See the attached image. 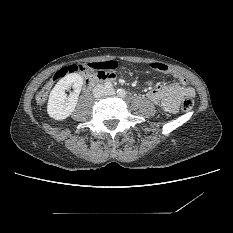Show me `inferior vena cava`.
<instances>
[{"label": "inferior vena cava", "instance_id": "inferior-vena-cava-1", "mask_svg": "<svg viewBox=\"0 0 233 233\" xmlns=\"http://www.w3.org/2000/svg\"><path fill=\"white\" fill-rule=\"evenodd\" d=\"M102 88H103V85H101V84L97 85L93 90L94 95L98 96V90L102 89Z\"/></svg>", "mask_w": 233, "mask_h": 233}]
</instances>
